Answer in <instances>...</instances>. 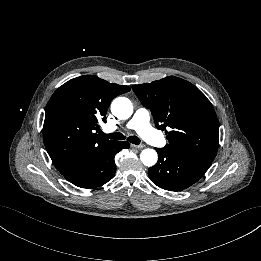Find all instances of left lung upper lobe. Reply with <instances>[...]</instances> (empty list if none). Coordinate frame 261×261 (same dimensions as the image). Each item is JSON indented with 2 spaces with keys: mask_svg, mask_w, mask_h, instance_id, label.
Here are the masks:
<instances>
[{
  "mask_svg": "<svg viewBox=\"0 0 261 261\" xmlns=\"http://www.w3.org/2000/svg\"><path fill=\"white\" fill-rule=\"evenodd\" d=\"M133 91L151 110L155 125L169 140L163 149L213 161L219 124L207 97L193 84L174 76L135 85Z\"/></svg>",
  "mask_w": 261,
  "mask_h": 261,
  "instance_id": "1",
  "label": "left lung upper lobe"
}]
</instances>
